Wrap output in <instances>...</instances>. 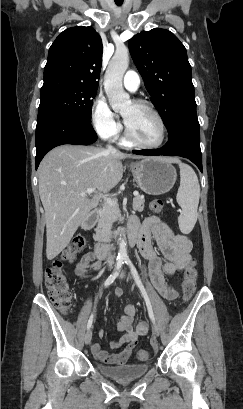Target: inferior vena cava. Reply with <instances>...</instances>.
Instances as JSON below:
<instances>
[{
	"mask_svg": "<svg viewBox=\"0 0 243 409\" xmlns=\"http://www.w3.org/2000/svg\"><path fill=\"white\" fill-rule=\"evenodd\" d=\"M107 149H108V151H113V152L116 151V149H115L114 147H112L111 145H108V146H107ZM107 262H108L109 264H113V263H114V257H113V256H109Z\"/></svg>",
	"mask_w": 243,
	"mask_h": 409,
	"instance_id": "obj_1",
	"label": "inferior vena cava"
}]
</instances>
